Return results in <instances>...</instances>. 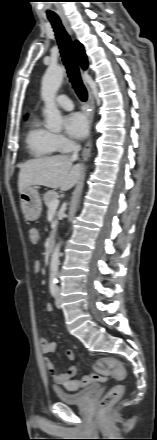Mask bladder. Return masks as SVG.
Masks as SVG:
<instances>
[{
    "mask_svg": "<svg viewBox=\"0 0 157 440\" xmlns=\"http://www.w3.org/2000/svg\"><path fill=\"white\" fill-rule=\"evenodd\" d=\"M97 390V385H90L78 392L70 393L63 390H56L55 394L58 400L64 404H82L91 398Z\"/></svg>",
    "mask_w": 157,
    "mask_h": 440,
    "instance_id": "31cf9c89",
    "label": "bladder"
}]
</instances>
